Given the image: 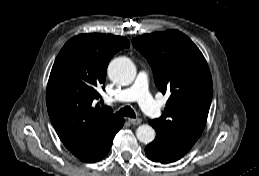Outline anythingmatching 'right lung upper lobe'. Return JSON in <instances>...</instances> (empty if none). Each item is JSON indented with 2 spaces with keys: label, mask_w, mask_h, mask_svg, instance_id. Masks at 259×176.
<instances>
[{
  "label": "right lung upper lobe",
  "mask_w": 259,
  "mask_h": 176,
  "mask_svg": "<svg viewBox=\"0 0 259 176\" xmlns=\"http://www.w3.org/2000/svg\"><path fill=\"white\" fill-rule=\"evenodd\" d=\"M129 41L101 33L71 38L59 52L47 85V109L63 144L82 159L117 132L123 118L93 106L103 89L112 56Z\"/></svg>",
  "instance_id": "cb5924a9"
}]
</instances>
